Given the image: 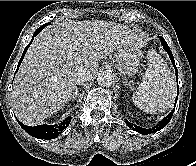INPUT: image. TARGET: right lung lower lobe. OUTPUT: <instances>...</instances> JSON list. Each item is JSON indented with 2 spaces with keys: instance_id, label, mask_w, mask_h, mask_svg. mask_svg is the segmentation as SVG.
Here are the masks:
<instances>
[{
  "instance_id": "98d812e1",
  "label": "right lung lower lobe",
  "mask_w": 196,
  "mask_h": 166,
  "mask_svg": "<svg viewBox=\"0 0 196 166\" xmlns=\"http://www.w3.org/2000/svg\"><path fill=\"white\" fill-rule=\"evenodd\" d=\"M42 29L39 28L34 32L33 37H35ZM33 41V38L31 40V42ZM31 42L27 45V47L25 48L21 59L18 62V66H17V70L21 64V61L24 58V55L28 49V47L30 46ZM16 70V72H17ZM18 121V120H17ZM18 123L20 124V126L31 136L36 137V138H40V139H54L57 138L58 135L65 129L68 127L69 123H70V119L67 118L65 121H63L61 124L59 125H38V126H26L24 124H22L20 121H18Z\"/></svg>"
}]
</instances>
